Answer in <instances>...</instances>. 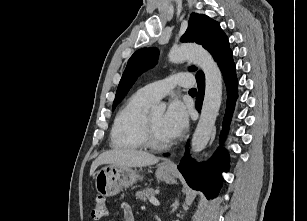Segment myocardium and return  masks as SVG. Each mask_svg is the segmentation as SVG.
Instances as JSON below:
<instances>
[{
    "instance_id": "f54148a6",
    "label": "myocardium",
    "mask_w": 307,
    "mask_h": 221,
    "mask_svg": "<svg viewBox=\"0 0 307 221\" xmlns=\"http://www.w3.org/2000/svg\"><path fill=\"white\" fill-rule=\"evenodd\" d=\"M142 141L145 147L155 151L164 150L168 148L171 144L170 140L166 142H159L156 139L154 126L151 118V112H147L144 119Z\"/></svg>"
}]
</instances>
